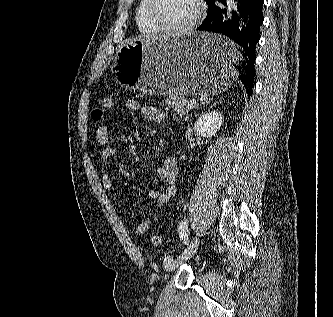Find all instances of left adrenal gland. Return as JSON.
<instances>
[{
	"label": "left adrenal gland",
	"instance_id": "a2214340",
	"mask_svg": "<svg viewBox=\"0 0 333 317\" xmlns=\"http://www.w3.org/2000/svg\"><path fill=\"white\" fill-rule=\"evenodd\" d=\"M220 103H221V101H218V102L214 103V105H216V104H220Z\"/></svg>",
	"mask_w": 333,
	"mask_h": 317
}]
</instances>
